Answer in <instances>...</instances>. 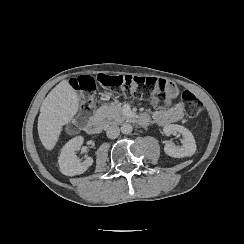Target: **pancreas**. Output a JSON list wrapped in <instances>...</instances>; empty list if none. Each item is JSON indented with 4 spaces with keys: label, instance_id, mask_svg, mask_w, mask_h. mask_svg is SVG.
<instances>
[{
    "label": "pancreas",
    "instance_id": "obj_1",
    "mask_svg": "<svg viewBox=\"0 0 244 244\" xmlns=\"http://www.w3.org/2000/svg\"><path fill=\"white\" fill-rule=\"evenodd\" d=\"M95 119L113 121L115 124L124 122L127 117L122 111L121 103H110L101 106L94 114Z\"/></svg>",
    "mask_w": 244,
    "mask_h": 244
}]
</instances>
